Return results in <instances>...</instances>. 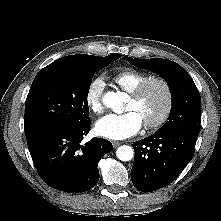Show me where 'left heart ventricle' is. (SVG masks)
<instances>
[{
  "label": "left heart ventricle",
  "mask_w": 221,
  "mask_h": 221,
  "mask_svg": "<svg viewBox=\"0 0 221 221\" xmlns=\"http://www.w3.org/2000/svg\"><path fill=\"white\" fill-rule=\"evenodd\" d=\"M165 106V93L159 84L151 85L140 100L134 101L130 98L126 110L135 111L141 118L142 123L155 120L163 111Z\"/></svg>",
  "instance_id": "1"
}]
</instances>
